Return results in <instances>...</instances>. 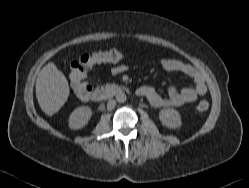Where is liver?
<instances>
[{
    "mask_svg": "<svg viewBox=\"0 0 249 188\" xmlns=\"http://www.w3.org/2000/svg\"><path fill=\"white\" fill-rule=\"evenodd\" d=\"M36 97L42 111L54 115L67 101L70 88L65 75L53 62L46 64L36 79Z\"/></svg>",
    "mask_w": 249,
    "mask_h": 188,
    "instance_id": "liver-1",
    "label": "liver"
}]
</instances>
